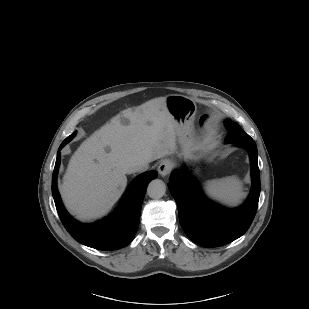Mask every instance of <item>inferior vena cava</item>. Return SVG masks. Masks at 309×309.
Returning a JSON list of instances; mask_svg holds the SVG:
<instances>
[{"label":"inferior vena cava","instance_id":"inferior-vena-cava-1","mask_svg":"<svg viewBox=\"0 0 309 309\" xmlns=\"http://www.w3.org/2000/svg\"><path fill=\"white\" fill-rule=\"evenodd\" d=\"M146 169H148L147 163H136L130 167L129 173L144 171Z\"/></svg>","mask_w":309,"mask_h":309}]
</instances>
